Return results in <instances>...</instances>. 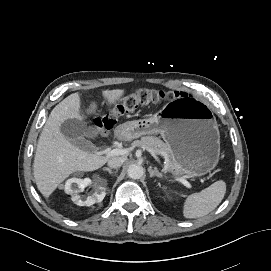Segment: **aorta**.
Here are the masks:
<instances>
[{"mask_svg":"<svg viewBox=\"0 0 271 271\" xmlns=\"http://www.w3.org/2000/svg\"><path fill=\"white\" fill-rule=\"evenodd\" d=\"M144 174V169L139 164H132L127 169V175L131 179H140Z\"/></svg>","mask_w":271,"mask_h":271,"instance_id":"obj_1","label":"aorta"}]
</instances>
